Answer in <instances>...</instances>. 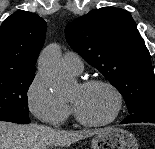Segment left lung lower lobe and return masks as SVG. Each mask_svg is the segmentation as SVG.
I'll return each mask as SVG.
<instances>
[{"instance_id": "left-lung-lower-lobe-1", "label": "left lung lower lobe", "mask_w": 155, "mask_h": 149, "mask_svg": "<svg viewBox=\"0 0 155 149\" xmlns=\"http://www.w3.org/2000/svg\"><path fill=\"white\" fill-rule=\"evenodd\" d=\"M137 122L155 123V102L140 112L128 115L120 124Z\"/></svg>"}]
</instances>
